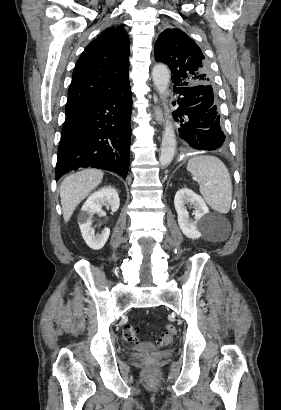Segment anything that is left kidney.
Returning a JSON list of instances; mask_svg holds the SVG:
<instances>
[{"label":"left kidney","instance_id":"obj_1","mask_svg":"<svg viewBox=\"0 0 281 410\" xmlns=\"http://www.w3.org/2000/svg\"><path fill=\"white\" fill-rule=\"evenodd\" d=\"M194 207V221L189 218L186 204ZM174 206L178 215V224L185 236L190 239H198L202 236V231L210 223L209 209L201 196L188 188L177 191L174 198Z\"/></svg>","mask_w":281,"mask_h":410}]
</instances>
